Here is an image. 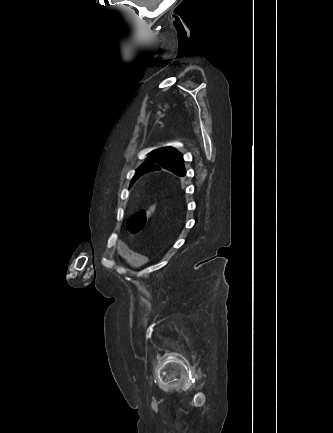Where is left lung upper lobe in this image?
<instances>
[{
    "label": "left lung upper lobe",
    "instance_id": "obj_1",
    "mask_svg": "<svg viewBox=\"0 0 333 433\" xmlns=\"http://www.w3.org/2000/svg\"><path fill=\"white\" fill-rule=\"evenodd\" d=\"M147 167H154L152 169L153 171L164 168L172 171L178 176H184L186 174L182 155L171 147L154 150L147 160L137 169L132 183L135 182L134 180L139 175L149 171L145 170Z\"/></svg>",
    "mask_w": 333,
    "mask_h": 433
}]
</instances>
